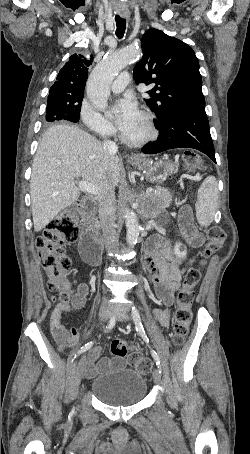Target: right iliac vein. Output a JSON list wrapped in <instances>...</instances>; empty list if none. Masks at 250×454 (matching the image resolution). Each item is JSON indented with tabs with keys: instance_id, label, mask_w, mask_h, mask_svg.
Masks as SVG:
<instances>
[{
	"instance_id": "63e3f726",
	"label": "right iliac vein",
	"mask_w": 250,
	"mask_h": 454,
	"mask_svg": "<svg viewBox=\"0 0 250 454\" xmlns=\"http://www.w3.org/2000/svg\"><path fill=\"white\" fill-rule=\"evenodd\" d=\"M98 318L100 322H106L109 318V314L105 309L101 310L98 314ZM86 360V355L83 354L81 358L78 360V362L75 365L74 368V373H75V385L79 386L81 383V380L83 378V372H84V366L83 363Z\"/></svg>"
}]
</instances>
